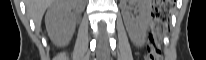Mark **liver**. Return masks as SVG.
I'll list each match as a JSON object with an SVG mask.
<instances>
[{
  "label": "liver",
  "mask_w": 206,
  "mask_h": 60,
  "mask_svg": "<svg viewBox=\"0 0 206 60\" xmlns=\"http://www.w3.org/2000/svg\"><path fill=\"white\" fill-rule=\"evenodd\" d=\"M61 1L62 0H26L25 4H26L27 14L34 20L35 25L37 27H39L41 25L42 17L44 15L46 9L49 6H51L53 4H58V5L63 4L64 5L65 3L68 2L67 0H64L63 2H61ZM79 2H80L79 0L78 1L77 0L70 1V3L73 5H75ZM63 14L65 15V18L67 19L68 15H67L66 11ZM48 30L50 31V29H48ZM53 41H54V39H53Z\"/></svg>",
  "instance_id": "1"
}]
</instances>
